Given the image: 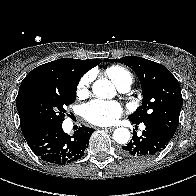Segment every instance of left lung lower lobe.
<instances>
[{
  "label": "left lung lower lobe",
  "mask_w": 196,
  "mask_h": 196,
  "mask_svg": "<svg viewBox=\"0 0 196 196\" xmlns=\"http://www.w3.org/2000/svg\"><path fill=\"white\" fill-rule=\"evenodd\" d=\"M133 124H138L128 118ZM145 130L138 137L134 131L132 140L122 147V153L126 156L145 158L162 151L170 142L174 134H171L158 123L144 122Z\"/></svg>",
  "instance_id": "1"
}]
</instances>
